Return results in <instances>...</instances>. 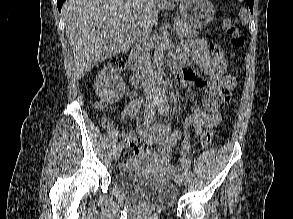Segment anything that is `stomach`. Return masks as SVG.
Returning <instances> with one entry per match:
<instances>
[{
  "mask_svg": "<svg viewBox=\"0 0 293 219\" xmlns=\"http://www.w3.org/2000/svg\"><path fill=\"white\" fill-rule=\"evenodd\" d=\"M164 7L173 9L174 5L166 4ZM179 13L193 27L203 28L212 22L215 9L210 0H179Z\"/></svg>",
  "mask_w": 293,
  "mask_h": 219,
  "instance_id": "1",
  "label": "stomach"
}]
</instances>
